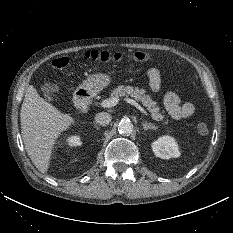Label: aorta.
<instances>
[{
  "instance_id": "762f6f07",
  "label": "aorta",
  "mask_w": 233,
  "mask_h": 233,
  "mask_svg": "<svg viewBox=\"0 0 233 233\" xmlns=\"http://www.w3.org/2000/svg\"><path fill=\"white\" fill-rule=\"evenodd\" d=\"M118 131L122 135H130L133 131V124L129 120H122L118 125Z\"/></svg>"
}]
</instances>
